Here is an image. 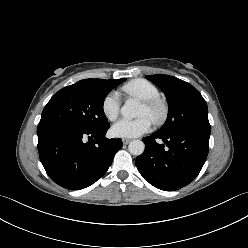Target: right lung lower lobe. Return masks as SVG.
I'll list each match as a JSON object with an SVG mask.
<instances>
[{"instance_id": "1", "label": "right lung lower lobe", "mask_w": 248, "mask_h": 248, "mask_svg": "<svg viewBox=\"0 0 248 248\" xmlns=\"http://www.w3.org/2000/svg\"><path fill=\"white\" fill-rule=\"evenodd\" d=\"M109 127L85 130L68 123H39L38 152L49 177L69 190L95 183L123 146L121 139L105 138Z\"/></svg>"}]
</instances>
